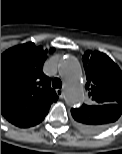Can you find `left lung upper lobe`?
Segmentation results:
<instances>
[{"label": "left lung upper lobe", "instance_id": "obj_1", "mask_svg": "<svg viewBox=\"0 0 122 154\" xmlns=\"http://www.w3.org/2000/svg\"><path fill=\"white\" fill-rule=\"evenodd\" d=\"M89 92V105H122V71L104 53L87 51L83 56ZM80 108L71 109V114L78 122L77 112Z\"/></svg>", "mask_w": 122, "mask_h": 154}]
</instances>
